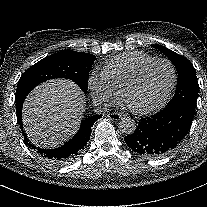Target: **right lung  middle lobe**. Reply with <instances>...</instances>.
<instances>
[{
  "label": "right lung middle lobe",
  "instance_id": "obj_1",
  "mask_svg": "<svg viewBox=\"0 0 207 207\" xmlns=\"http://www.w3.org/2000/svg\"><path fill=\"white\" fill-rule=\"evenodd\" d=\"M95 60L92 54L75 51H62L40 60L20 77L15 101L24 99L38 84L54 78L70 79L86 92L89 72Z\"/></svg>",
  "mask_w": 207,
  "mask_h": 207
}]
</instances>
